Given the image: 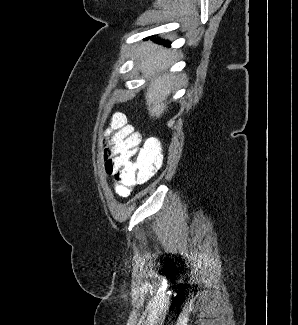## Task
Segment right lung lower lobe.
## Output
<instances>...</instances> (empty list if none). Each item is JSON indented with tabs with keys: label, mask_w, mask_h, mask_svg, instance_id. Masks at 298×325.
<instances>
[{
	"label": "right lung lower lobe",
	"mask_w": 298,
	"mask_h": 325,
	"mask_svg": "<svg viewBox=\"0 0 298 325\" xmlns=\"http://www.w3.org/2000/svg\"><path fill=\"white\" fill-rule=\"evenodd\" d=\"M164 43L168 44V42L164 41Z\"/></svg>",
	"instance_id": "98d812e1"
}]
</instances>
